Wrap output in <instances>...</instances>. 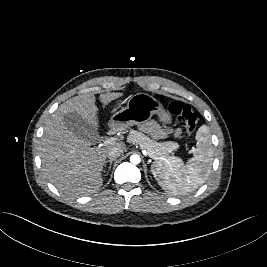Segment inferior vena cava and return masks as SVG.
Instances as JSON below:
<instances>
[{
	"mask_svg": "<svg viewBox=\"0 0 267 267\" xmlns=\"http://www.w3.org/2000/svg\"><path fill=\"white\" fill-rule=\"evenodd\" d=\"M123 153V150L120 147H112L108 150L107 157L111 159H116Z\"/></svg>",
	"mask_w": 267,
	"mask_h": 267,
	"instance_id": "602c4592",
	"label": "inferior vena cava"
}]
</instances>
